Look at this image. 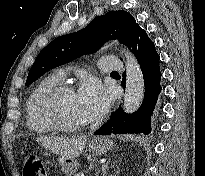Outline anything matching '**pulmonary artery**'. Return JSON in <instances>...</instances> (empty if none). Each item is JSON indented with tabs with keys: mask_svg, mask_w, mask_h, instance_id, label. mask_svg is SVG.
<instances>
[{
	"mask_svg": "<svg viewBox=\"0 0 205 176\" xmlns=\"http://www.w3.org/2000/svg\"><path fill=\"white\" fill-rule=\"evenodd\" d=\"M99 68L102 73H107L110 71H123L124 61L121 57L115 54L104 55L99 61ZM57 75L60 78H63L65 76V72L63 70H59Z\"/></svg>",
	"mask_w": 205,
	"mask_h": 176,
	"instance_id": "e3ab8cb5",
	"label": "pulmonary artery"
}]
</instances>
